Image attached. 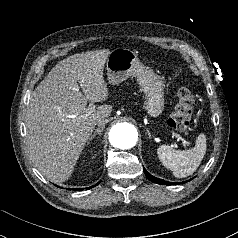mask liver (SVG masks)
I'll return each mask as SVG.
<instances>
[{"instance_id": "obj_1", "label": "liver", "mask_w": 238, "mask_h": 238, "mask_svg": "<svg viewBox=\"0 0 238 238\" xmlns=\"http://www.w3.org/2000/svg\"><path fill=\"white\" fill-rule=\"evenodd\" d=\"M109 54V49H101L67 57L31 96L26 143L34 165L52 182L70 178L97 122L112 112L111 105H101L91 114L86 108L88 101L108 99L103 69Z\"/></svg>"}]
</instances>
